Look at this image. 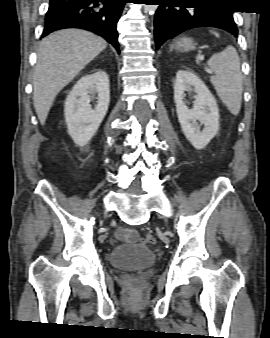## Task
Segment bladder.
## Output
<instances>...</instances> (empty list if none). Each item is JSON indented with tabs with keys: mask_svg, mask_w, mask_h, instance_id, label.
Here are the masks:
<instances>
[{
	"mask_svg": "<svg viewBox=\"0 0 270 338\" xmlns=\"http://www.w3.org/2000/svg\"><path fill=\"white\" fill-rule=\"evenodd\" d=\"M155 251L140 242L118 243L110 253V264L122 270L144 269L154 265L156 262Z\"/></svg>",
	"mask_w": 270,
	"mask_h": 338,
	"instance_id": "bladder-1",
	"label": "bladder"
}]
</instances>
